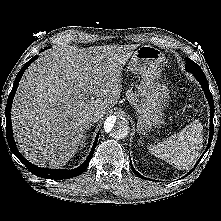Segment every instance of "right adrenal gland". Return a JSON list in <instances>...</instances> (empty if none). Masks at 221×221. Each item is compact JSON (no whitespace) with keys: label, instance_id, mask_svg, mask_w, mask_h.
I'll list each match as a JSON object with an SVG mask.
<instances>
[{"label":"right adrenal gland","instance_id":"obj_1","mask_svg":"<svg viewBox=\"0 0 221 221\" xmlns=\"http://www.w3.org/2000/svg\"><path fill=\"white\" fill-rule=\"evenodd\" d=\"M91 126H92V124H90V125L88 126L87 130H89V128H91ZM87 130L85 131L84 137H83L82 142H81V143H82L81 146L83 145V143H84L85 140L87 139Z\"/></svg>","mask_w":221,"mask_h":221}]
</instances>
